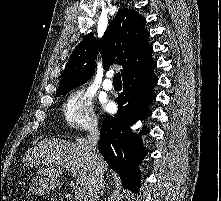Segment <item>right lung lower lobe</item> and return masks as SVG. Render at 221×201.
Listing matches in <instances>:
<instances>
[{
    "label": "right lung lower lobe",
    "instance_id": "obj_1",
    "mask_svg": "<svg viewBox=\"0 0 221 201\" xmlns=\"http://www.w3.org/2000/svg\"><path fill=\"white\" fill-rule=\"evenodd\" d=\"M157 64L123 79V92L116 102L118 112L114 117L104 118L100 130L98 150L108 165L119 174L123 186L133 192L139 191L140 171L138 165L147 154L140 136L129 128L138 120L149 117V103L156 97L153 87L158 82L154 74ZM149 130L143 127L141 134Z\"/></svg>",
    "mask_w": 221,
    "mask_h": 201
}]
</instances>
